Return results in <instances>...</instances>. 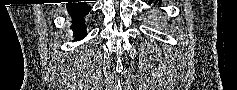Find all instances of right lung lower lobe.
<instances>
[{
  "instance_id": "1",
  "label": "right lung lower lobe",
  "mask_w": 237,
  "mask_h": 90,
  "mask_svg": "<svg viewBox=\"0 0 237 90\" xmlns=\"http://www.w3.org/2000/svg\"><path fill=\"white\" fill-rule=\"evenodd\" d=\"M67 9L72 16V26L76 40L83 39L86 35L84 16L87 15L91 6L86 2L68 3Z\"/></svg>"
}]
</instances>
